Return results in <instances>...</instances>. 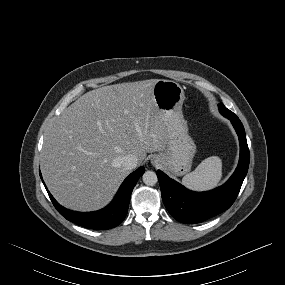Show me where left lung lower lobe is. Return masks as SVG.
Instances as JSON below:
<instances>
[{"instance_id":"0a47b994","label":"left lung lower lobe","mask_w":285,"mask_h":285,"mask_svg":"<svg viewBox=\"0 0 285 285\" xmlns=\"http://www.w3.org/2000/svg\"><path fill=\"white\" fill-rule=\"evenodd\" d=\"M224 116L231 120L240 143L239 164L224 185L208 192H193L157 171L163 202L169 213L182 223H201L229 209L247 174L250 155L244 127L237 116Z\"/></svg>"}]
</instances>
